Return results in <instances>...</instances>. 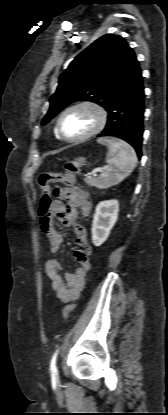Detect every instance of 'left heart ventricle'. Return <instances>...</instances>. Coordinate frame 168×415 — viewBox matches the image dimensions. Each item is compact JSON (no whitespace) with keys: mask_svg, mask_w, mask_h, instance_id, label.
I'll return each instance as SVG.
<instances>
[{"mask_svg":"<svg viewBox=\"0 0 168 415\" xmlns=\"http://www.w3.org/2000/svg\"><path fill=\"white\" fill-rule=\"evenodd\" d=\"M96 121V114L91 109H74L63 117L62 131L66 137H79L89 132L95 126Z\"/></svg>","mask_w":168,"mask_h":415,"instance_id":"b2bd125f","label":"left heart ventricle"}]
</instances>
